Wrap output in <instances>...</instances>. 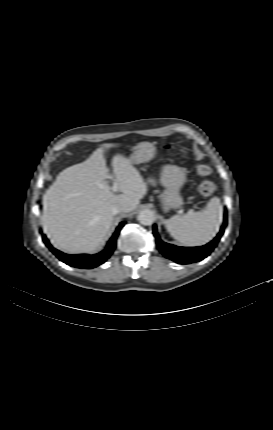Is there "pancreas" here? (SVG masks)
<instances>
[{
    "label": "pancreas",
    "mask_w": 273,
    "mask_h": 430,
    "mask_svg": "<svg viewBox=\"0 0 273 430\" xmlns=\"http://www.w3.org/2000/svg\"><path fill=\"white\" fill-rule=\"evenodd\" d=\"M148 182H149L152 186H156V185H157V182H156L155 178H153V177H150V178L148 179Z\"/></svg>",
    "instance_id": "1"
}]
</instances>
